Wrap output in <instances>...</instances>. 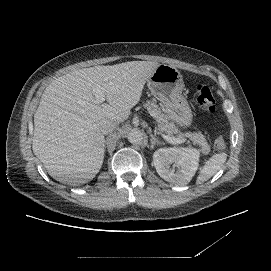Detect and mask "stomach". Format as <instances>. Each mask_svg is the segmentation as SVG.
Listing matches in <instances>:
<instances>
[{
    "instance_id": "stomach-1",
    "label": "stomach",
    "mask_w": 271,
    "mask_h": 271,
    "mask_svg": "<svg viewBox=\"0 0 271 271\" xmlns=\"http://www.w3.org/2000/svg\"><path fill=\"white\" fill-rule=\"evenodd\" d=\"M147 86L151 93L159 98L166 115L174 125L180 129L192 126V107L183 93V77L176 67L160 65L147 80Z\"/></svg>"
}]
</instances>
